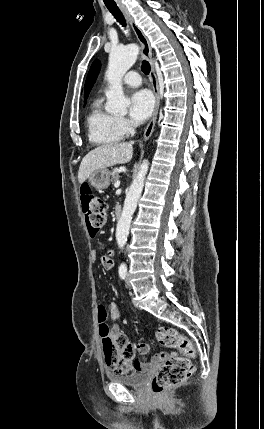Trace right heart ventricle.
Here are the masks:
<instances>
[{
    "instance_id": "obj_1",
    "label": "right heart ventricle",
    "mask_w": 264,
    "mask_h": 429,
    "mask_svg": "<svg viewBox=\"0 0 264 429\" xmlns=\"http://www.w3.org/2000/svg\"><path fill=\"white\" fill-rule=\"evenodd\" d=\"M88 137L95 145H111L122 140L119 118L106 111L101 100H95L87 118Z\"/></svg>"
}]
</instances>
